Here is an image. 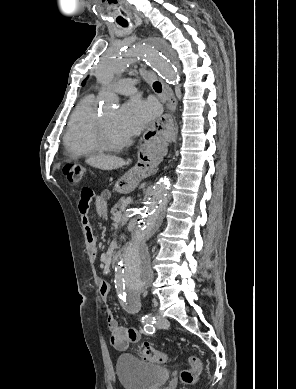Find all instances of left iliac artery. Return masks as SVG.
I'll return each mask as SVG.
<instances>
[{
  "instance_id": "1",
  "label": "left iliac artery",
  "mask_w": 296,
  "mask_h": 389,
  "mask_svg": "<svg viewBox=\"0 0 296 389\" xmlns=\"http://www.w3.org/2000/svg\"><path fill=\"white\" fill-rule=\"evenodd\" d=\"M142 323L144 324V330L146 333L153 334L155 332V328L153 324L156 322L155 317L151 315H145L141 318Z\"/></svg>"
}]
</instances>
